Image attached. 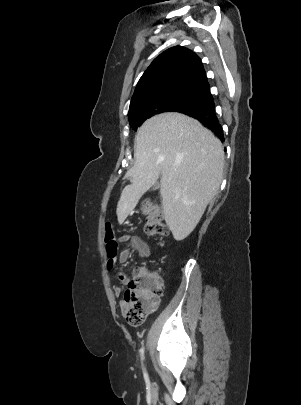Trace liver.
Segmentation results:
<instances>
[{"mask_svg": "<svg viewBox=\"0 0 301 405\" xmlns=\"http://www.w3.org/2000/svg\"><path fill=\"white\" fill-rule=\"evenodd\" d=\"M223 168L220 140L198 120L176 112L151 117L135 138V163L126 174L131 184L118 201V222L125 221L161 176L164 219L175 240H183L217 194Z\"/></svg>", "mask_w": 301, "mask_h": 405, "instance_id": "6515ba94", "label": "liver"}]
</instances>
